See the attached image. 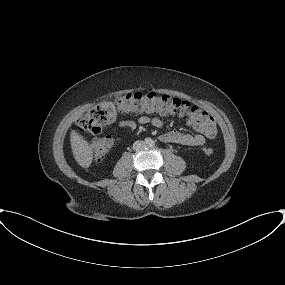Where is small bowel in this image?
Here are the masks:
<instances>
[{"instance_id":"obj_1","label":"small bowel","mask_w":285,"mask_h":285,"mask_svg":"<svg viewBox=\"0 0 285 285\" xmlns=\"http://www.w3.org/2000/svg\"><path fill=\"white\" fill-rule=\"evenodd\" d=\"M163 123L164 121L160 117L141 115L138 117L137 121L121 120L119 121V126L127 131H132L136 128L137 124L141 125L151 124L155 127H161ZM188 124L192 126L194 129H196L194 125L191 124L189 121ZM206 138L211 139L209 136L205 135L202 132L189 134L179 131H170L160 136V140L163 142L189 146V147L202 146L205 143Z\"/></svg>"}]
</instances>
